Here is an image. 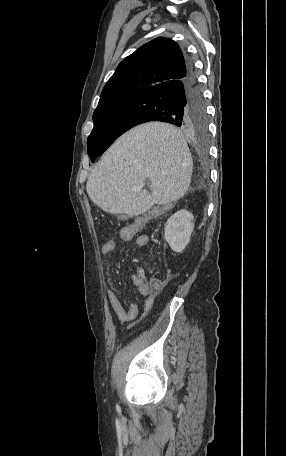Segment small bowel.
Wrapping results in <instances>:
<instances>
[{
	"label": "small bowel",
	"mask_w": 286,
	"mask_h": 456,
	"mask_svg": "<svg viewBox=\"0 0 286 456\" xmlns=\"http://www.w3.org/2000/svg\"><path fill=\"white\" fill-rule=\"evenodd\" d=\"M119 237L123 241H129L132 239L133 235H127L124 233L122 229L119 233ZM148 235L140 234L135 238V244L137 247L142 248L145 247L148 243ZM117 249V243L114 240H107L102 244L101 253L104 256H109L113 254ZM132 283L137 288L138 293L144 297V305H143V312L140 316V319L144 318L152 309L156 297V293L152 291L150 286L148 285L147 281L143 276H139L138 274L132 275ZM107 297L109 304L116 314L117 318L122 322H131L137 319L139 315V308L136 303H130L128 307H125L121 300L119 299L118 295L109 290L107 292ZM132 327V325H130Z\"/></svg>",
	"instance_id": "c3829d8e"
}]
</instances>
